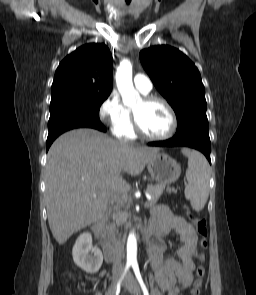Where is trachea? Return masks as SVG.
Here are the masks:
<instances>
[{"label": "trachea", "mask_w": 256, "mask_h": 295, "mask_svg": "<svg viewBox=\"0 0 256 295\" xmlns=\"http://www.w3.org/2000/svg\"><path fill=\"white\" fill-rule=\"evenodd\" d=\"M131 0H126V3L129 4Z\"/></svg>", "instance_id": "1"}]
</instances>
